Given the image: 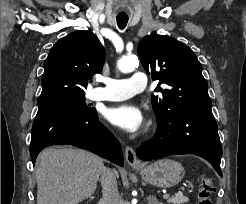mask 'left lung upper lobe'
<instances>
[{"label": "left lung upper lobe", "instance_id": "1", "mask_svg": "<svg viewBox=\"0 0 246 204\" xmlns=\"http://www.w3.org/2000/svg\"><path fill=\"white\" fill-rule=\"evenodd\" d=\"M138 55L152 79L160 81L155 91L162 96L152 95L157 122L177 111L211 108L201 63L189 47L171 37L149 35L140 41ZM160 84L168 87L162 89Z\"/></svg>", "mask_w": 246, "mask_h": 204}]
</instances>
